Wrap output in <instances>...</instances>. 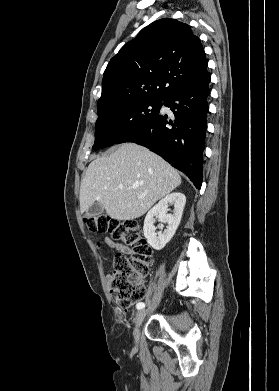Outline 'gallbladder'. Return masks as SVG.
I'll return each instance as SVG.
<instances>
[{
	"label": "gallbladder",
	"mask_w": 279,
	"mask_h": 391,
	"mask_svg": "<svg viewBox=\"0 0 279 391\" xmlns=\"http://www.w3.org/2000/svg\"><path fill=\"white\" fill-rule=\"evenodd\" d=\"M103 210H104L103 206L96 202L89 207L86 214L89 217H95L101 215L103 213Z\"/></svg>",
	"instance_id": "obj_1"
}]
</instances>
